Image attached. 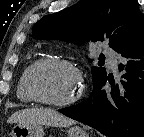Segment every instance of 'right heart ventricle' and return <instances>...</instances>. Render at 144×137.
Segmentation results:
<instances>
[{"mask_svg":"<svg viewBox=\"0 0 144 137\" xmlns=\"http://www.w3.org/2000/svg\"><path fill=\"white\" fill-rule=\"evenodd\" d=\"M39 60H41V59H35L34 61H32L25 68V70L23 71V73L21 74V76L19 78V81H18V84H17V89H16V95H17V98L23 103H32V102H34V99L30 96V94L27 91L26 81H27V76H28V73H29L30 69Z\"/></svg>","mask_w":144,"mask_h":137,"instance_id":"right-heart-ventricle-1","label":"right heart ventricle"}]
</instances>
